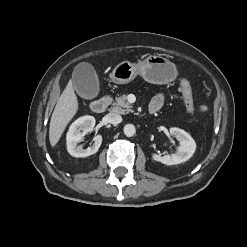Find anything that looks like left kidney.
I'll list each match as a JSON object with an SVG mask.
<instances>
[{"instance_id": "left-kidney-1", "label": "left kidney", "mask_w": 247, "mask_h": 247, "mask_svg": "<svg viewBox=\"0 0 247 247\" xmlns=\"http://www.w3.org/2000/svg\"><path fill=\"white\" fill-rule=\"evenodd\" d=\"M169 132L180 141V146L177 148V151L165 156L153 153L152 159L165 165H176L190 159L196 150L194 139L190 134L180 128L172 127L169 129Z\"/></svg>"}]
</instances>
